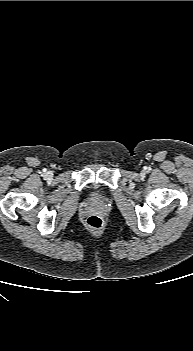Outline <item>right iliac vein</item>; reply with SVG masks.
<instances>
[{"label":"right iliac vein","mask_w":193,"mask_h":351,"mask_svg":"<svg viewBox=\"0 0 193 351\" xmlns=\"http://www.w3.org/2000/svg\"><path fill=\"white\" fill-rule=\"evenodd\" d=\"M45 177H46L47 179H49V178L52 177V174H51L50 172H47L46 175H45Z\"/></svg>","instance_id":"obj_1"}]
</instances>
